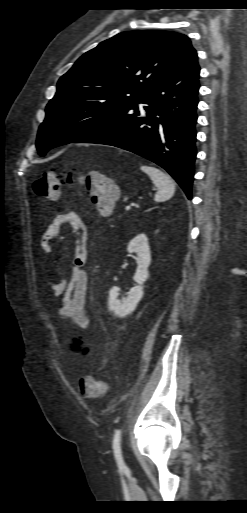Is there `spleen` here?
Masks as SVG:
<instances>
[{"mask_svg": "<svg viewBox=\"0 0 247 513\" xmlns=\"http://www.w3.org/2000/svg\"><path fill=\"white\" fill-rule=\"evenodd\" d=\"M141 170L149 175L153 184L157 187L154 198L156 202H164L172 198L175 193V183L168 174L151 166L143 165Z\"/></svg>", "mask_w": 247, "mask_h": 513, "instance_id": "spleen-1", "label": "spleen"}]
</instances>
